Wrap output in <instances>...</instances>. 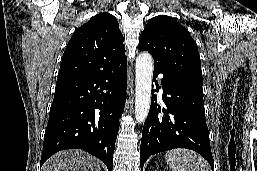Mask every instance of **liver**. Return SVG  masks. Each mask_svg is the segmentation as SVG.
I'll return each mask as SVG.
<instances>
[{"label":"liver","mask_w":257,"mask_h":171,"mask_svg":"<svg viewBox=\"0 0 257 171\" xmlns=\"http://www.w3.org/2000/svg\"><path fill=\"white\" fill-rule=\"evenodd\" d=\"M42 171H100V162L81 150H64L47 160Z\"/></svg>","instance_id":"1"}]
</instances>
